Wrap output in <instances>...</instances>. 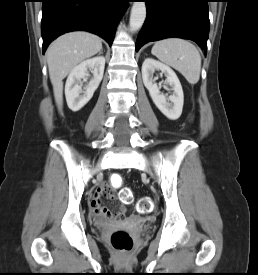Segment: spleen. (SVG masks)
I'll return each mask as SVG.
<instances>
[{
    "instance_id": "obj_1",
    "label": "spleen",
    "mask_w": 258,
    "mask_h": 275,
    "mask_svg": "<svg viewBox=\"0 0 258 275\" xmlns=\"http://www.w3.org/2000/svg\"><path fill=\"white\" fill-rule=\"evenodd\" d=\"M151 53L160 61L178 70L190 84L199 81L201 56L198 49L189 41L180 38L157 41Z\"/></svg>"
}]
</instances>
